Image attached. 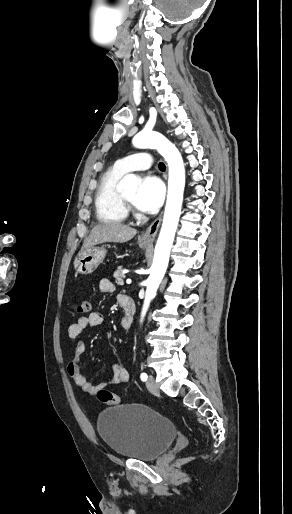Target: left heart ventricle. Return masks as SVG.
<instances>
[{
  "mask_svg": "<svg viewBox=\"0 0 292 514\" xmlns=\"http://www.w3.org/2000/svg\"><path fill=\"white\" fill-rule=\"evenodd\" d=\"M121 192L129 202L135 205L136 190H126Z\"/></svg>",
  "mask_w": 292,
  "mask_h": 514,
  "instance_id": "1",
  "label": "left heart ventricle"
}]
</instances>
